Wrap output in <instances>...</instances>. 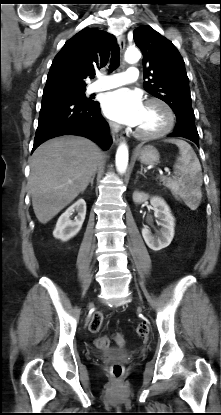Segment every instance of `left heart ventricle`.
I'll return each mask as SVG.
<instances>
[{"mask_svg": "<svg viewBox=\"0 0 221 415\" xmlns=\"http://www.w3.org/2000/svg\"><path fill=\"white\" fill-rule=\"evenodd\" d=\"M167 122V115L162 106L158 104H145L144 111L136 129L152 133L161 130Z\"/></svg>", "mask_w": 221, "mask_h": 415, "instance_id": "1", "label": "left heart ventricle"}]
</instances>
